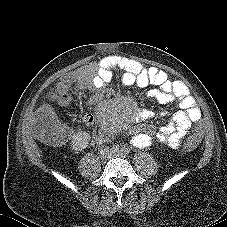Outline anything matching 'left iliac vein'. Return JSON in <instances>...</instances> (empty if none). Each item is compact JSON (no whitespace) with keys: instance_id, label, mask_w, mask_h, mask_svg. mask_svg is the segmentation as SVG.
Listing matches in <instances>:
<instances>
[{"instance_id":"4c4485c4","label":"left iliac vein","mask_w":227,"mask_h":227,"mask_svg":"<svg viewBox=\"0 0 227 227\" xmlns=\"http://www.w3.org/2000/svg\"><path fill=\"white\" fill-rule=\"evenodd\" d=\"M111 156L125 158L126 154L124 152L117 151V152H113Z\"/></svg>"}]
</instances>
